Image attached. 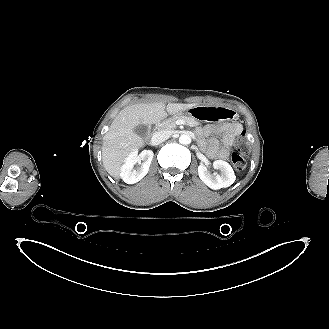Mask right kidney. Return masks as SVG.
Listing matches in <instances>:
<instances>
[{"label": "right kidney", "instance_id": "right-kidney-1", "mask_svg": "<svg viewBox=\"0 0 329 329\" xmlns=\"http://www.w3.org/2000/svg\"><path fill=\"white\" fill-rule=\"evenodd\" d=\"M153 156L154 153L151 150H143L140 154L137 150L131 151L121 167L120 177L122 180L127 184L140 181L148 173ZM137 162L141 166L135 169L134 165Z\"/></svg>", "mask_w": 329, "mask_h": 329}]
</instances>
